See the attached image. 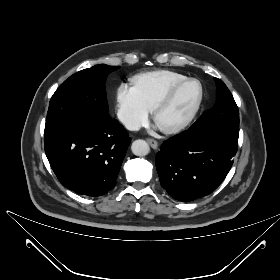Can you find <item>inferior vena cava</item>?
Instances as JSON below:
<instances>
[{"label": "inferior vena cava", "mask_w": 280, "mask_h": 280, "mask_svg": "<svg viewBox=\"0 0 280 280\" xmlns=\"http://www.w3.org/2000/svg\"><path fill=\"white\" fill-rule=\"evenodd\" d=\"M118 118L128 130L138 131L141 127L140 123L128 114L119 113Z\"/></svg>", "instance_id": "602c4592"}]
</instances>
